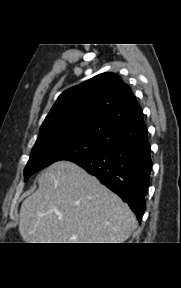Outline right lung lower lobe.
<instances>
[{
	"label": "right lung lower lobe",
	"mask_w": 181,
	"mask_h": 288,
	"mask_svg": "<svg viewBox=\"0 0 181 288\" xmlns=\"http://www.w3.org/2000/svg\"><path fill=\"white\" fill-rule=\"evenodd\" d=\"M71 161L119 195L141 221L152 170L148 140L140 144L115 146Z\"/></svg>",
	"instance_id": "obj_1"
}]
</instances>
